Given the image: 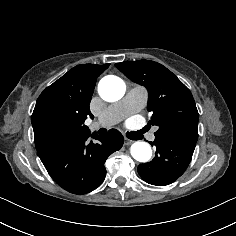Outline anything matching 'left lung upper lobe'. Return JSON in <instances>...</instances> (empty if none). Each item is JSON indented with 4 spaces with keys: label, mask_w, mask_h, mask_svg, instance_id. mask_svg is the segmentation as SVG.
Listing matches in <instances>:
<instances>
[{
    "label": "left lung upper lobe",
    "mask_w": 236,
    "mask_h": 236,
    "mask_svg": "<svg viewBox=\"0 0 236 236\" xmlns=\"http://www.w3.org/2000/svg\"><path fill=\"white\" fill-rule=\"evenodd\" d=\"M115 66L129 79L148 90V123L159 129L155 137L170 138L195 146L198 139V111L189 89L166 67L150 61H124Z\"/></svg>",
    "instance_id": "1"
}]
</instances>
